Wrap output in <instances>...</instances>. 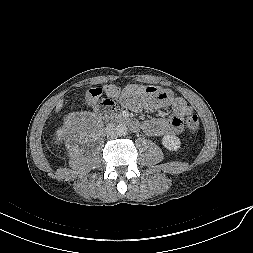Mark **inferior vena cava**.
<instances>
[{
	"label": "inferior vena cava",
	"instance_id": "inferior-vena-cava-1",
	"mask_svg": "<svg viewBox=\"0 0 253 253\" xmlns=\"http://www.w3.org/2000/svg\"><path fill=\"white\" fill-rule=\"evenodd\" d=\"M105 131H106L107 136L110 138H114L116 136L114 128L112 126H107Z\"/></svg>",
	"mask_w": 253,
	"mask_h": 253
}]
</instances>
